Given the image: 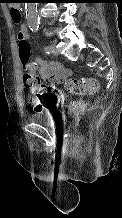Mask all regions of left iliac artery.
<instances>
[{"label": "left iliac artery", "mask_w": 122, "mask_h": 218, "mask_svg": "<svg viewBox=\"0 0 122 218\" xmlns=\"http://www.w3.org/2000/svg\"><path fill=\"white\" fill-rule=\"evenodd\" d=\"M44 50H45V52H46L47 54L52 53V48H51V46H46Z\"/></svg>", "instance_id": "44dca946"}]
</instances>
